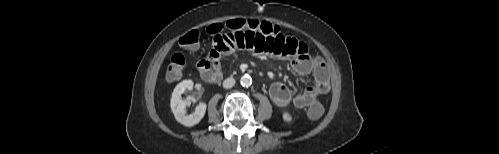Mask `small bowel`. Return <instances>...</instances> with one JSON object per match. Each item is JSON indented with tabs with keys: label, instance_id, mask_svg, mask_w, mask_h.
Returning a JSON list of instances; mask_svg holds the SVG:
<instances>
[{
	"label": "small bowel",
	"instance_id": "c3829d8e",
	"mask_svg": "<svg viewBox=\"0 0 499 154\" xmlns=\"http://www.w3.org/2000/svg\"><path fill=\"white\" fill-rule=\"evenodd\" d=\"M238 50H247L291 61L292 68L301 75L313 76V84L294 95L282 82H274L269 94L273 103L284 108L293 105L303 109L330 90V76L324 60L309 53L306 43L282 33L266 35L256 30H227L213 37V48L201 59L197 68L207 82H217L222 77L221 61L224 55Z\"/></svg>",
	"mask_w": 499,
	"mask_h": 154
}]
</instances>
